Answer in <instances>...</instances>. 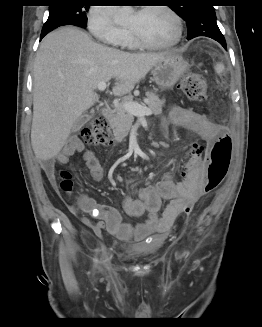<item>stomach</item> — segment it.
Masks as SVG:
<instances>
[{
    "label": "stomach",
    "mask_w": 262,
    "mask_h": 327,
    "mask_svg": "<svg viewBox=\"0 0 262 327\" xmlns=\"http://www.w3.org/2000/svg\"><path fill=\"white\" fill-rule=\"evenodd\" d=\"M188 67L187 61L182 56L177 54L167 55L154 66V81L162 90L172 89Z\"/></svg>",
    "instance_id": "obj_1"
}]
</instances>
